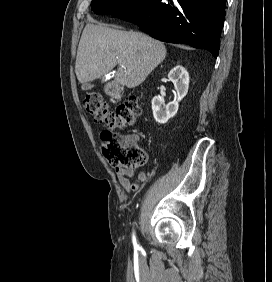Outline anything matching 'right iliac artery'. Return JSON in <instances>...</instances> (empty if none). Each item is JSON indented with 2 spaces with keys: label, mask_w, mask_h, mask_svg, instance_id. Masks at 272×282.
Here are the masks:
<instances>
[{
  "label": "right iliac artery",
  "mask_w": 272,
  "mask_h": 282,
  "mask_svg": "<svg viewBox=\"0 0 272 282\" xmlns=\"http://www.w3.org/2000/svg\"><path fill=\"white\" fill-rule=\"evenodd\" d=\"M132 240H133L134 247H135V248H138L139 245H138L137 242H136V237H135L134 234H133Z\"/></svg>",
  "instance_id": "obj_1"
}]
</instances>
